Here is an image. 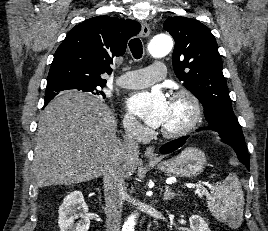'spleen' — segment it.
<instances>
[{
  "mask_svg": "<svg viewBox=\"0 0 268 231\" xmlns=\"http://www.w3.org/2000/svg\"><path fill=\"white\" fill-rule=\"evenodd\" d=\"M208 209L219 221L238 228L243 221L244 194L236 174L212 186Z\"/></svg>",
  "mask_w": 268,
  "mask_h": 231,
  "instance_id": "3e777b00",
  "label": "spleen"
}]
</instances>
